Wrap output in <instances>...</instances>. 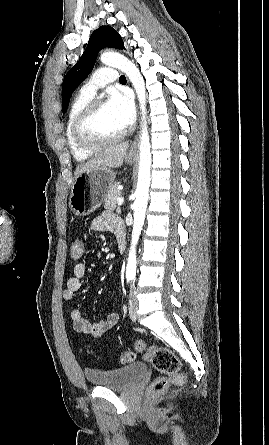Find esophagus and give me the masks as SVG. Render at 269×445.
<instances>
[{
    "label": "esophagus",
    "mask_w": 269,
    "mask_h": 445,
    "mask_svg": "<svg viewBox=\"0 0 269 445\" xmlns=\"http://www.w3.org/2000/svg\"><path fill=\"white\" fill-rule=\"evenodd\" d=\"M138 144H139V132H138V134L136 135V137L134 139V142L132 144L131 149L135 150L138 147Z\"/></svg>",
    "instance_id": "esophagus-1"
}]
</instances>
